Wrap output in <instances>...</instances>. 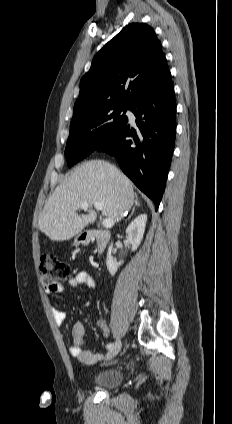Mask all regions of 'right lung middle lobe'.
Returning <instances> with one entry per match:
<instances>
[{
	"label": "right lung middle lobe",
	"instance_id": "dd1d6c3e",
	"mask_svg": "<svg viewBox=\"0 0 232 424\" xmlns=\"http://www.w3.org/2000/svg\"><path fill=\"white\" fill-rule=\"evenodd\" d=\"M127 105L91 108L72 118L65 156L68 167L95 151L104 141L124 127Z\"/></svg>",
	"mask_w": 232,
	"mask_h": 424
}]
</instances>
